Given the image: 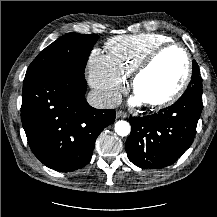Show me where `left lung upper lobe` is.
<instances>
[{"instance_id":"1","label":"left lung upper lobe","mask_w":217,"mask_h":217,"mask_svg":"<svg viewBox=\"0 0 217 217\" xmlns=\"http://www.w3.org/2000/svg\"><path fill=\"white\" fill-rule=\"evenodd\" d=\"M192 67V80L190 81L186 91L202 94V78L200 77V70L196 61H193Z\"/></svg>"}]
</instances>
